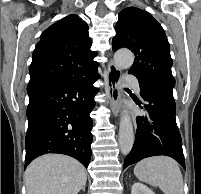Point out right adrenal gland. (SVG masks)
Here are the masks:
<instances>
[{
	"label": "right adrenal gland",
	"mask_w": 201,
	"mask_h": 194,
	"mask_svg": "<svg viewBox=\"0 0 201 194\" xmlns=\"http://www.w3.org/2000/svg\"><path fill=\"white\" fill-rule=\"evenodd\" d=\"M83 191H85V186L83 187Z\"/></svg>",
	"instance_id": "1"
}]
</instances>
